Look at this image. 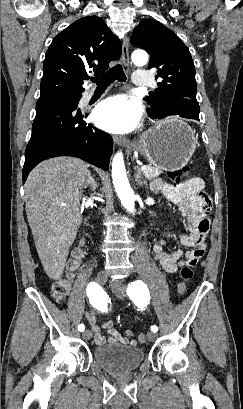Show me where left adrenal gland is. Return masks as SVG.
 <instances>
[{
    "label": "left adrenal gland",
    "instance_id": "obj_1",
    "mask_svg": "<svg viewBox=\"0 0 243 409\" xmlns=\"http://www.w3.org/2000/svg\"><path fill=\"white\" fill-rule=\"evenodd\" d=\"M136 173H135V181L137 182L138 185L143 186L145 185L147 187V181L144 179V177L141 174V170L139 166L135 167Z\"/></svg>",
    "mask_w": 243,
    "mask_h": 409
}]
</instances>
